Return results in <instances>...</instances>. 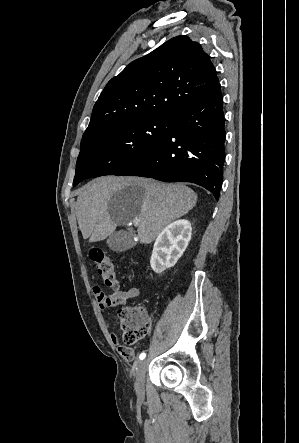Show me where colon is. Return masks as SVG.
<instances>
[{
  "mask_svg": "<svg viewBox=\"0 0 299 443\" xmlns=\"http://www.w3.org/2000/svg\"><path fill=\"white\" fill-rule=\"evenodd\" d=\"M89 257L96 265L103 283L108 287H118L115 265L112 258L99 246L89 248ZM122 331V342L125 347L121 352L123 357L131 355L129 346L147 336L151 327V318L148 313L139 306L124 307L118 311Z\"/></svg>",
  "mask_w": 299,
  "mask_h": 443,
  "instance_id": "5ec220e1",
  "label": "colon"
}]
</instances>
